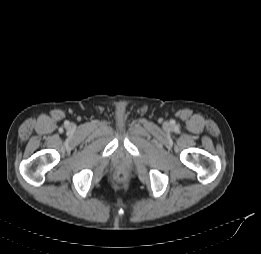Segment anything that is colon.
Segmentation results:
<instances>
[{
	"label": "colon",
	"mask_w": 261,
	"mask_h": 254,
	"mask_svg": "<svg viewBox=\"0 0 261 254\" xmlns=\"http://www.w3.org/2000/svg\"><path fill=\"white\" fill-rule=\"evenodd\" d=\"M125 179V174L124 173H119L118 175H117V180L118 181H123Z\"/></svg>",
	"instance_id": "colon-1"
}]
</instances>
